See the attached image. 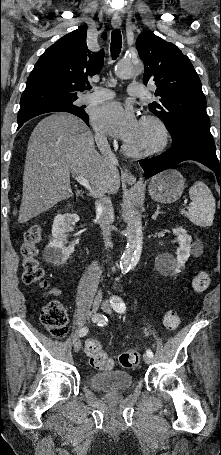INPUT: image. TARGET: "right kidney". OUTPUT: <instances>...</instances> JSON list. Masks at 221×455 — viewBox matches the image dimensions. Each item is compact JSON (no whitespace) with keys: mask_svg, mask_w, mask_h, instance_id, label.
<instances>
[{"mask_svg":"<svg viewBox=\"0 0 221 455\" xmlns=\"http://www.w3.org/2000/svg\"><path fill=\"white\" fill-rule=\"evenodd\" d=\"M77 214H59L54 218L52 225V239L45 247L43 258L45 261L60 266L74 252V246L78 240L68 242L67 233L73 230V226L79 221ZM69 243L68 246L66 244Z\"/></svg>","mask_w":221,"mask_h":455,"instance_id":"right-kidney-1","label":"right kidney"}]
</instances>
